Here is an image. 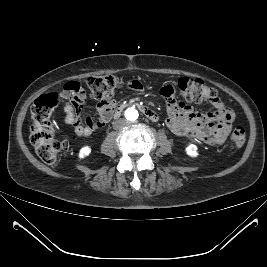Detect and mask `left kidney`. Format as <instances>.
I'll list each match as a JSON object with an SVG mask.
<instances>
[{
  "label": "left kidney",
  "mask_w": 267,
  "mask_h": 267,
  "mask_svg": "<svg viewBox=\"0 0 267 267\" xmlns=\"http://www.w3.org/2000/svg\"><path fill=\"white\" fill-rule=\"evenodd\" d=\"M186 153L191 157H196L198 155L197 153V146L194 144H189L186 147Z\"/></svg>",
  "instance_id": "obj_1"
}]
</instances>
